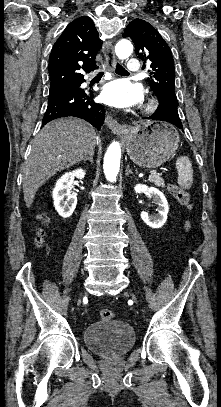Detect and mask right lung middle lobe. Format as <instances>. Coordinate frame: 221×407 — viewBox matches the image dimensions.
Instances as JSON below:
<instances>
[{
	"label": "right lung middle lobe",
	"instance_id": "right-lung-middle-lobe-1",
	"mask_svg": "<svg viewBox=\"0 0 221 407\" xmlns=\"http://www.w3.org/2000/svg\"><path fill=\"white\" fill-rule=\"evenodd\" d=\"M60 86H63V85H58V86H56V85L51 84L50 90L55 89V88H58V87H60Z\"/></svg>",
	"mask_w": 221,
	"mask_h": 407
}]
</instances>
